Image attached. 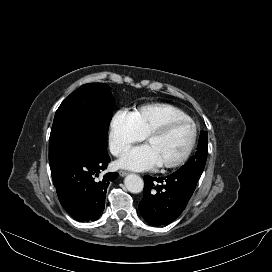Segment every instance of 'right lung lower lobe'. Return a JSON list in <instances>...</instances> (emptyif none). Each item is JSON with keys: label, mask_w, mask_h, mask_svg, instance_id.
I'll return each mask as SVG.
<instances>
[{"label": "right lung lower lobe", "mask_w": 272, "mask_h": 272, "mask_svg": "<svg viewBox=\"0 0 272 272\" xmlns=\"http://www.w3.org/2000/svg\"><path fill=\"white\" fill-rule=\"evenodd\" d=\"M109 162L107 149L81 146L51 167L59 201L75 220L94 221L102 215L108 185L118 176L111 172L97 179Z\"/></svg>", "instance_id": "98d812e1"}]
</instances>
